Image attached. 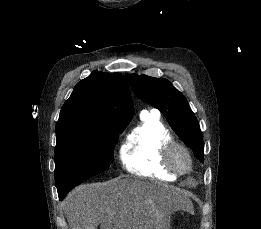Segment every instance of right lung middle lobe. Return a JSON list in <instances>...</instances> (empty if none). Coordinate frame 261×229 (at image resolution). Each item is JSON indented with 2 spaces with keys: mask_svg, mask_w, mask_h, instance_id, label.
<instances>
[{
  "mask_svg": "<svg viewBox=\"0 0 261 229\" xmlns=\"http://www.w3.org/2000/svg\"><path fill=\"white\" fill-rule=\"evenodd\" d=\"M127 124L99 127L55 147V181L60 200L75 186L109 169L118 135Z\"/></svg>",
  "mask_w": 261,
  "mask_h": 229,
  "instance_id": "1",
  "label": "right lung middle lobe"
}]
</instances>
